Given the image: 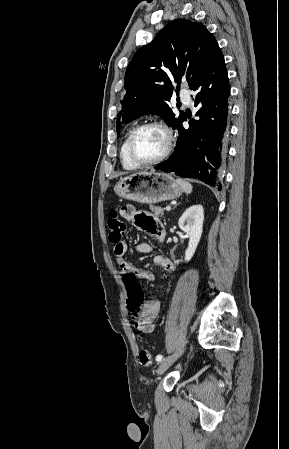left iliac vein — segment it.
<instances>
[{
	"instance_id": "obj_1",
	"label": "left iliac vein",
	"mask_w": 289,
	"mask_h": 449,
	"mask_svg": "<svg viewBox=\"0 0 289 449\" xmlns=\"http://www.w3.org/2000/svg\"><path fill=\"white\" fill-rule=\"evenodd\" d=\"M183 353V351H181L180 353L171 356V357H167L165 358L159 365L158 369H157V374L158 375H162Z\"/></svg>"
}]
</instances>
